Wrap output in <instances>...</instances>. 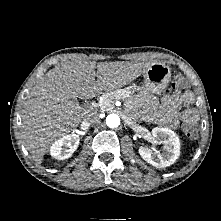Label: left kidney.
Masks as SVG:
<instances>
[{
	"instance_id": "left-kidney-1",
	"label": "left kidney",
	"mask_w": 221,
	"mask_h": 221,
	"mask_svg": "<svg viewBox=\"0 0 221 221\" xmlns=\"http://www.w3.org/2000/svg\"><path fill=\"white\" fill-rule=\"evenodd\" d=\"M155 139L164 144V152H153L151 149L141 146L140 156L149 164L157 168H164L172 165L180 154V141L176 133L168 128L156 127L152 129Z\"/></svg>"
}]
</instances>
